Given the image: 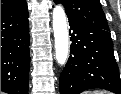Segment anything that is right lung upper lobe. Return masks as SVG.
Here are the masks:
<instances>
[{"label":"right lung upper lobe","mask_w":121,"mask_h":94,"mask_svg":"<svg viewBox=\"0 0 121 94\" xmlns=\"http://www.w3.org/2000/svg\"><path fill=\"white\" fill-rule=\"evenodd\" d=\"M25 0H1V13H5L22 5Z\"/></svg>","instance_id":"obj_1"}]
</instances>
